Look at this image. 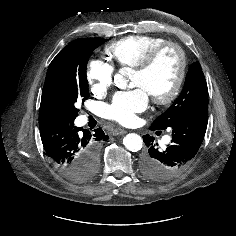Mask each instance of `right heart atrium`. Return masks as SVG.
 <instances>
[{
    "label": "right heart atrium",
    "instance_id": "1",
    "mask_svg": "<svg viewBox=\"0 0 236 236\" xmlns=\"http://www.w3.org/2000/svg\"><path fill=\"white\" fill-rule=\"evenodd\" d=\"M114 75V66L102 59L92 58L86 66V81L94 94L101 95L111 86Z\"/></svg>",
    "mask_w": 236,
    "mask_h": 236
}]
</instances>
